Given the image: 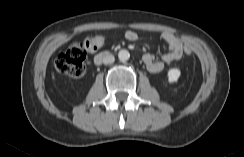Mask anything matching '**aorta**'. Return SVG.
I'll use <instances>...</instances> for the list:
<instances>
[{"instance_id":"1","label":"aorta","mask_w":244,"mask_h":157,"mask_svg":"<svg viewBox=\"0 0 244 157\" xmlns=\"http://www.w3.org/2000/svg\"><path fill=\"white\" fill-rule=\"evenodd\" d=\"M118 58L121 62H126L130 58V53L127 50H120L118 53Z\"/></svg>"}]
</instances>
